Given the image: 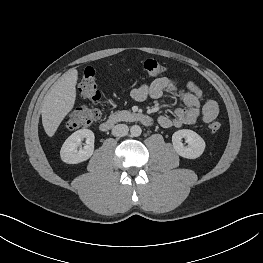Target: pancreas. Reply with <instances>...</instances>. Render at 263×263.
Instances as JSON below:
<instances>
[{"label":"pancreas","instance_id":"obj_1","mask_svg":"<svg viewBox=\"0 0 263 263\" xmlns=\"http://www.w3.org/2000/svg\"><path fill=\"white\" fill-rule=\"evenodd\" d=\"M135 114L131 113L130 111L123 110V111H117L110 115V119L119 122V121H131L135 118Z\"/></svg>","mask_w":263,"mask_h":263}]
</instances>
